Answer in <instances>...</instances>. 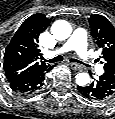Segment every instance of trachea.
I'll return each instance as SVG.
<instances>
[{"label": "trachea", "instance_id": "trachea-1", "mask_svg": "<svg viewBox=\"0 0 115 119\" xmlns=\"http://www.w3.org/2000/svg\"><path fill=\"white\" fill-rule=\"evenodd\" d=\"M62 60H63V57L61 55H58L57 57H54L53 59H49V60H45V61L49 62V63H56V62H60ZM70 61L71 62L80 63V64H84L83 62H81V61H79L77 59H73V58H71ZM84 65H86V64H84Z\"/></svg>", "mask_w": 115, "mask_h": 119}]
</instances>
